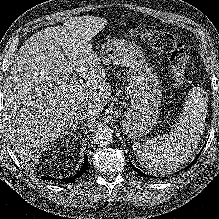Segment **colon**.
<instances>
[{
	"label": "colon",
	"instance_id": "5ec220e1",
	"mask_svg": "<svg viewBox=\"0 0 219 219\" xmlns=\"http://www.w3.org/2000/svg\"><path fill=\"white\" fill-rule=\"evenodd\" d=\"M131 34L168 53L175 87L181 88L185 85V71L189 54L185 45L180 40L167 32L151 29H133Z\"/></svg>",
	"mask_w": 219,
	"mask_h": 219
}]
</instances>
